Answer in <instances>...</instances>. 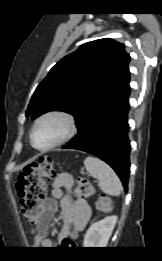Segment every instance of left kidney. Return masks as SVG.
I'll list each match as a JSON object with an SVG mask.
<instances>
[{
    "label": "left kidney",
    "mask_w": 162,
    "mask_h": 261,
    "mask_svg": "<svg viewBox=\"0 0 162 261\" xmlns=\"http://www.w3.org/2000/svg\"><path fill=\"white\" fill-rule=\"evenodd\" d=\"M117 222V216H108L93 223L84 236L83 246L86 248L106 247Z\"/></svg>",
    "instance_id": "left-kidney-1"
}]
</instances>
